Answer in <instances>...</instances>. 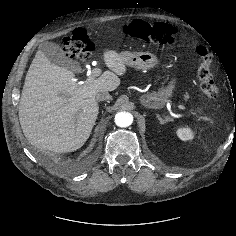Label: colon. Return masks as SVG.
Here are the masks:
<instances>
[{
    "label": "colon",
    "mask_w": 236,
    "mask_h": 236,
    "mask_svg": "<svg viewBox=\"0 0 236 236\" xmlns=\"http://www.w3.org/2000/svg\"><path fill=\"white\" fill-rule=\"evenodd\" d=\"M125 32L134 38L154 44H171L175 40L176 31L164 23H149L135 19L126 24ZM65 53L70 58H87L93 44L87 31L83 28L75 29L64 41ZM197 53L202 61L198 68V79L201 91L209 98L216 99L220 95V86L211 73L212 56L205 46H198Z\"/></svg>",
    "instance_id": "colon-1"
}]
</instances>
